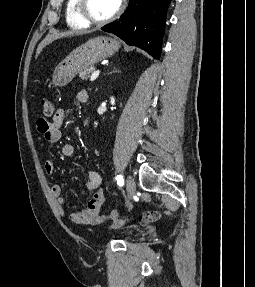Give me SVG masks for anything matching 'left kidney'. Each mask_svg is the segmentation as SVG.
<instances>
[{"label":"left kidney","mask_w":255,"mask_h":287,"mask_svg":"<svg viewBox=\"0 0 255 287\" xmlns=\"http://www.w3.org/2000/svg\"><path fill=\"white\" fill-rule=\"evenodd\" d=\"M111 104H115V98H111Z\"/></svg>","instance_id":"left-kidney-1"}]
</instances>
